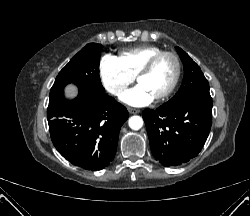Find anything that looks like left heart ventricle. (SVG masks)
<instances>
[{"mask_svg": "<svg viewBox=\"0 0 250 216\" xmlns=\"http://www.w3.org/2000/svg\"><path fill=\"white\" fill-rule=\"evenodd\" d=\"M175 74V62L169 56L158 60L150 73L143 76L139 83L156 97L163 93L171 84Z\"/></svg>", "mask_w": 250, "mask_h": 216, "instance_id": "obj_1", "label": "left heart ventricle"}]
</instances>
